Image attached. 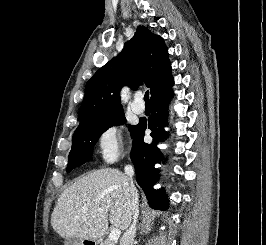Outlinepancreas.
Listing matches in <instances>:
<instances>
[{
	"mask_svg": "<svg viewBox=\"0 0 266 245\" xmlns=\"http://www.w3.org/2000/svg\"><path fill=\"white\" fill-rule=\"evenodd\" d=\"M101 245H111V243H108V241H103V243H101Z\"/></svg>",
	"mask_w": 266,
	"mask_h": 245,
	"instance_id": "1",
	"label": "pancreas"
}]
</instances>
